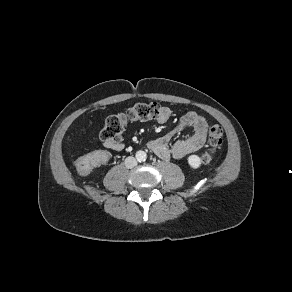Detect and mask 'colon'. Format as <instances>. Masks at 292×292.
<instances>
[{
	"instance_id": "5ec220e1",
	"label": "colon",
	"mask_w": 292,
	"mask_h": 292,
	"mask_svg": "<svg viewBox=\"0 0 292 292\" xmlns=\"http://www.w3.org/2000/svg\"><path fill=\"white\" fill-rule=\"evenodd\" d=\"M162 107L156 102L138 103L120 112L109 116L100 133V138L104 142H121L122 135L129 123L156 120L161 114ZM223 141V128L220 125H213L209 129V148L201 155L203 164H208L215 150ZM108 160V154L104 151L94 152L83 158L78 163V169L82 172L90 170L96 163H104Z\"/></svg>"
}]
</instances>
